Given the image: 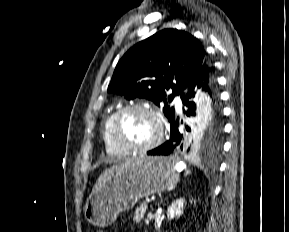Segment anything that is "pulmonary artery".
<instances>
[{
	"mask_svg": "<svg viewBox=\"0 0 289 232\" xmlns=\"http://www.w3.org/2000/svg\"><path fill=\"white\" fill-rule=\"evenodd\" d=\"M175 105L178 109H181L182 101H181L180 97H178V96L175 98Z\"/></svg>",
	"mask_w": 289,
	"mask_h": 232,
	"instance_id": "obj_1",
	"label": "pulmonary artery"
}]
</instances>
